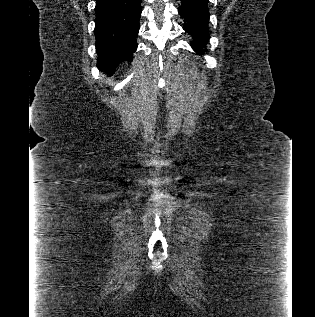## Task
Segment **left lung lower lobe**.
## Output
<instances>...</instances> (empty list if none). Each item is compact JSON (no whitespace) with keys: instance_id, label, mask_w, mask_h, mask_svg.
Instances as JSON below:
<instances>
[{"instance_id":"0a47b994","label":"left lung lower lobe","mask_w":315,"mask_h":317,"mask_svg":"<svg viewBox=\"0 0 315 317\" xmlns=\"http://www.w3.org/2000/svg\"><path fill=\"white\" fill-rule=\"evenodd\" d=\"M208 0H181L178 8L180 16L184 19V30L193 38L191 44L194 51L203 53V47L209 41L208 32L209 10Z\"/></svg>"}]
</instances>
